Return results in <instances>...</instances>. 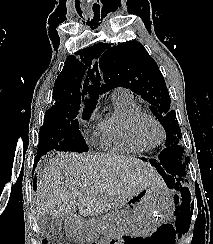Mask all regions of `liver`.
<instances>
[{"instance_id":"liver-1","label":"liver","mask_w":213,"mask_h":244,"mask_svg":"<svg viewBox=\"0 0 213 244\" xmlns=\"http://www.w3.org/2000/svg\"><path fill=\"white\" fill-rule=\"evenodd\" d=\"M161 185L157 171L132 156L56 153L38 172L37 216L70 217L77 206L80 215L94 216Z\"/></svg>"}]
</instances>
